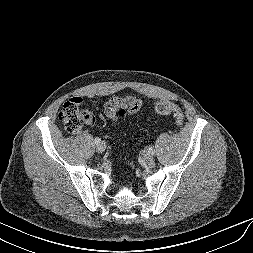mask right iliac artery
I'll use <instances>...</instances> for the list:
<instances>
[{
    "instance_id": "1",
    "label": "right iliac artery",
    "mask_w": 253,
    "mask_h": 253,
    "mask_svg": "<svg viewBox=\"0 0 253 253\" xmlns=\"http://www.w3.org/2000/svg\"><path fill=\"white\" fill-rule=\"evenodd\" d=\"M94 142H95V144H99V143H101V139L100 138H95Z\"/></svg>"
}]
</instances>
